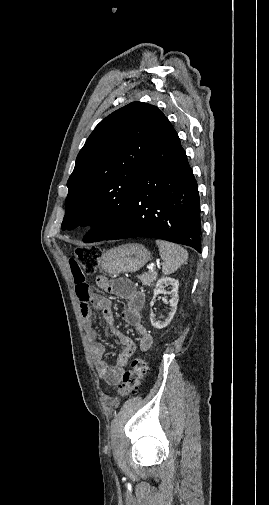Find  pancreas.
<instances>
[{
    "instance_id": "obj_1",
    "label": "pancreas",
    "mask_w": 269,
    "mask_h": 505,
    "mask_svg": "<svg viewBox=\"0 0 269 505\" xmlns=\"http://www.w3.org/2000/svg\"><path fill=\"white\" fill-rule=\"evenodd\" d=\"M138 278L141 280L143 285L150 286L157 279V272L149 271L148 273H143L138 276Z\"/></svg>"
}]
</instances>
